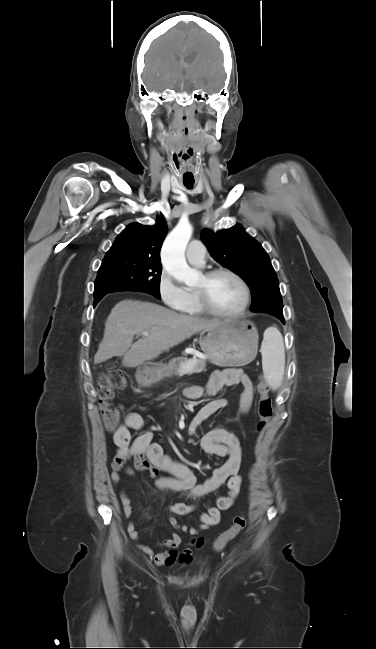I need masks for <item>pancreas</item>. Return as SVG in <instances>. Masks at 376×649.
Listing matches in <instances>:
<instances>
[{"label":"pancreas","mask_w":376,"mask_h":649,"mask_svg":"<svg viewBox=\"0 0 376 649\" xmlns=\"http://www.w3.org/2000/svg\"><path fill=\"white\" fill-rule=\"evenodd\" d=\"M191 361H193V365L190 369H186L183 367L185 364ZM160 368L163 371V374L161 375L160 379L169 377L173 374L167 366L160 365ZM205 368H206V363L204 360H197V359L189 360L187 358H182L179 361V363L176 365L175 374L179 376H183L185 374L192 375L194 373H201L202 371H205L206 370Z\"/></svg>","instance_id":"1"}]
</instances>
